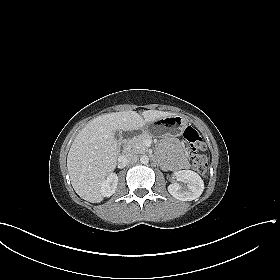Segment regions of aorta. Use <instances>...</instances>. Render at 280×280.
Returning a JSON list of instances; mask_svg holds the SVG:
<instances>
[{
  "mask_svg": "<svg viewBox=\"0 0 280 280\" xmlns=\"http://www.w3.org/2000/svg\"><path fill=\"white\" fill-rule=\"evenodd\" d=\"M140 162H141L142 164H147V163L149 162L148 156H146V155L141 156V157H140Z\"/></svg>",
  "mask_w": 280,
  "mask_h": 280,
  "instance_id": "obj_1",
  "label": "aorta"
}]
</instances>
